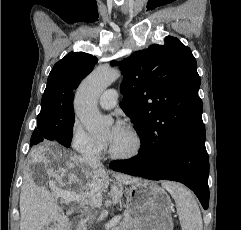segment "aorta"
I'll list each match as a JSON object with an SVG mask.
<instances>
[{
	"label": "aorta",
	"mask_w": 241,
	"mask_h": 230,
	"mask_svg": "<svg viewBox=\"0 0 241 230\" xmlns=\"http://www.w3.org/2000/svg\"><path fill=\"white\" fill-rule=\"evenodd\" d=\"M120 77V71L99 67L88 75L79 86L75 97V112L86 130L99 137L106 133L112 120L103 116L97 107L101 93Z\"/></svg>",
	"instance_id": "obj_1"
}]
</instances>
